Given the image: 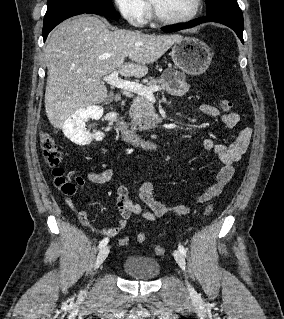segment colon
<instances>
[{
  "label": "colon",
  "instance_id": "5ec220e1",
  "mask_svg": "<svg viewBox=\"0 0 284 319\" xmlns=\"http://www.w3.org/2000/svg\"><path fill=\"white\" fill-rule=\"evenodd\" d=\"M219 104L224 111H230L233 107V103L228 99H221ZM40 147L44 161L52 168L54 182L57 188L65 194H72L75 191V183L64 176V170L60 167L61 152L50 134L46 132L40 133ZM213 210V204H209L205 207L204 214L208 216L213 212ZM136 239L139 243H143L146 240V235L144 233H139ZM128 243V237H124L119 240V245L121 246H126ZM164 251L165 250L162 246L155 247V253L157 255L164 254Z\"/></svg>",
  "mask_w": 284,
  "mask_h": 319
}]
</instances>
